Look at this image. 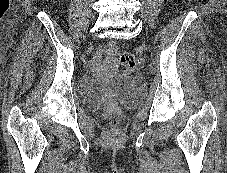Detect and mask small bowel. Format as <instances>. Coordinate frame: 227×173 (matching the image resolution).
Instances as JSON below:
<instances>
[{
  "label": "small bowel",
  "instance_id": "1",
  "mask_svg": "<svg viewBox=\"0 0 227 173\" xmlns=\"http://www.w3.org/2000/svg\"><path fill=\"white\" fill-rule=\"evenodd\" d=\"M99 57H100V54H98V55L96 56L95 60L98 61V60H99Z\"/></svg>",
  "mask_w": 227,
  "mask_h": 173
}]
</instances>
